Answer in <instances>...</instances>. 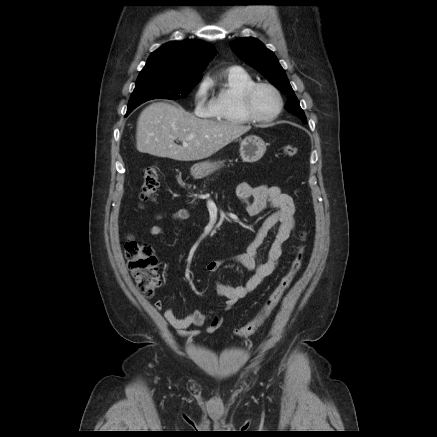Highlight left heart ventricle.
<instances>
[{
    "label": "left heart ventricle",
    "instance_id": "obj_1",
    "mask_svg": "<svg viewBox=\"0 0 437 437\" xmlns=\"http://www.w3.org/2000/svg\"><path fill=\"white\" fill-rule=\"evenodd\" d=\"M253 108L256 114L262 117L273 115L278 108L275 94L268 88H259L253 97Z\"/></svg>",
    "mask_w": 437,
    "mask_h": 437
}]
</instances>
